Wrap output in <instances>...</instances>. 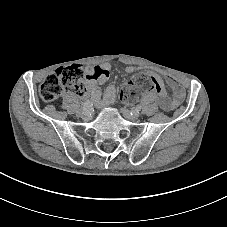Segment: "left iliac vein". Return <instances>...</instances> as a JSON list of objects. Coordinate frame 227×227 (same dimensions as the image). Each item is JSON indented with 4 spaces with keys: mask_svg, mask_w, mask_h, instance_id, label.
<instances>
[{
    "mask_svg": "<svg viewBox=\"0 0 227 227\" xmlns=\"http://www.w3.org/2000/svg\"><path fill=\"white\" fill-rule=\"evenodd\" d=\"M123 115L125 116V118H127L128 120H138L139 119V115L137 113H132L131 111L127 110V109H122Z\"/></svg>",
    "mask_w": 227,
    "mask_h": 227,
    "instance_id": "left-iliac-vein-1",
    "label": "left iliac vein"
}]
</instances>
